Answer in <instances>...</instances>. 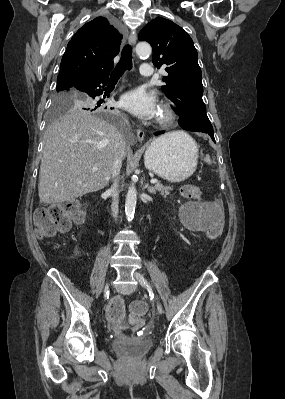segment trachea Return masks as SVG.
<instances>
[{
    "mask_svg": "<svg viewBox=\"0 0 285 399\" xmlns=\"http://www.w3.org/2000/svg\"><path fill=\"white\" fill-rule=\"evenodd\" d=\"M132 69V47L126 45L121 54V59L111 73L110 80H118L126 70Z\"/></svg>",
    "mask_w": 285,
    "mask_h": 399,
    "instance_id": "trachea-1",
    "label": "trachea"
}]
</instances>
